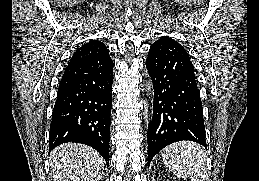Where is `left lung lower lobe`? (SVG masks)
Returning <instances> with one entry per match:
<instances>
[{"instance_id": "0a47b994", "label": "left lung lower lobe", "mask_w": 259, "mask_h": 181, "mask_svg": "<svg viewBox=\"0 0 259 181\" xmlns=\"http://www.w3.org/2000/svg\"><path fill=\"white\" fill-rule=\"evenodd\" d=\"M146 67L154 88L148 166L162 148L177 141H194L206 148L200 91L186 50L163 36L150 47Z\"/></svg>"}]
</instances>
